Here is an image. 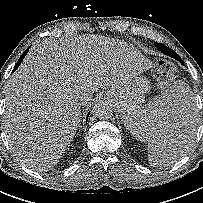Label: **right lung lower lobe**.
Wrapping results in <instances>:
<instances>
[{"mask_svg": "<svg viewBox=\"0 0 203 203\" xmlns=\"http://www.w3.org/2000/svg\"><path fill=\"white\" fill-rule=\"evenodd\" d=\"M28 50H29V49H27V50L22 54V56L19 58V60H18L17 64L15 65L13 71H15V70L18 68V66L21 64V62H22V60L24 59L25 55L27 54ZM88 115H89V114H88Z\"/></svg>", "mask_w": 203, "mask_h": 203, "instance_id": "obj_1", "label": "right lung lower lobe"}]
</instances>
